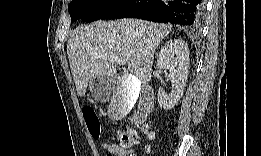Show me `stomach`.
<instances>
[{"mask_svg": "<svg viewBox=\"0 0 261 156\" xmlns=\"http://www.w3.org/2000/svg\"><path fill=\"white\" fill-rule=\"evenodd\" d=\"M98 78H95L93 80L90 81L89 85H92Z\"/></svg>", "mask_w": 261, "mask_h": 156, "instance_id": "1", "label": "stomach"}]
</instances>
